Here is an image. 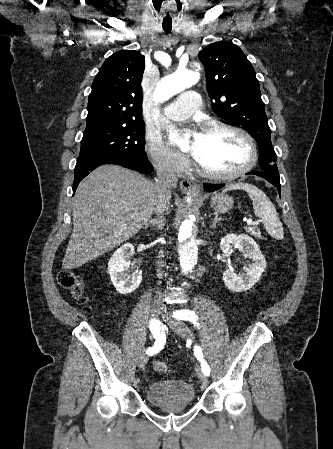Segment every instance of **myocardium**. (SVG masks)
I'll list each match as a JSON object with an SVG mask.
<instances>
[{
  "instance_id": "1",
  "label": "myocardium",
  "mask_w": 333,
  "mask_h": 449,
  "mask_svg": "<svg viewBox=\"0 0 333 449\" xmlns=\"http://www.w3.org/2000/svg\"><path fill=\"white\" fill-rule=\"evenodd\" d=\"M214 131H226L241 137L248 145L249 158L241 168L229 173L211 172L194 158V164L199 173L205 178L215 182H226L234 180L248 173L255 166L258 158V151L254 138L246 130L224 122H212L205 125L204 132Z\"/></svg>"
}]
</instances>
